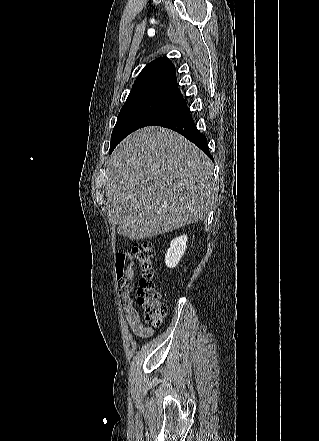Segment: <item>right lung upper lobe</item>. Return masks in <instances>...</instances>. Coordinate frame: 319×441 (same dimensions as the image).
I'll return each instance as SVG.
<instances>
[{
    "label": "right lung upper lobe",
    "instance_id": "cb5924a9",
    "mask_svg": "<svg viewBox=\"0 0 319 441\" xmlns=\"http://www.w3.org/2000/svg\"><path fill=\"white\" fill-rule=\"evenodd\" d=\"M159 99L174 104L183 99L173 63L166 57L147 64L133 84L127 100Z\"/></svg>",
    "mask_w": 319,
    "mask_h": 441
}]
</instances>
